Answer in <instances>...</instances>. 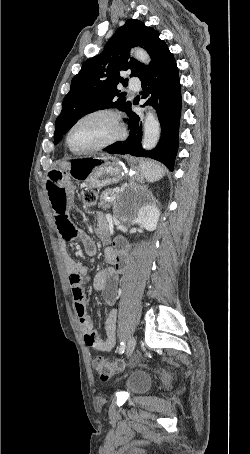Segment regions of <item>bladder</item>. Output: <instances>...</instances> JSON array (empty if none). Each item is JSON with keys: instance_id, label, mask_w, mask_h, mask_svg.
I'll list each match as a JSON object with an SVG mask.
<instances>
[{"instance_id": "31cf9c89", "label": "bladder", "mask_w": 250, "mask_h": 454, "mask_svg": "<svg viewBox=\"0 0 250 454\" xmlns=\"http://www.w3.org/2000/svg\"><path fill=\"white\" fill-rule=\"evenodd\" d=\"M150 386V378L145 372H134L126 380V389L133 395L143 394Z\"/></svg>"}]
</instances>
